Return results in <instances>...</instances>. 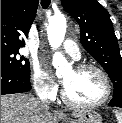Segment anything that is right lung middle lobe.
<instances>
[{
    "mask_svg": "<svg viewBox=\"0 0 122 123\" xmlns=\"http://www.w3.org/2000/svg\"><path fill=\"white\" fill-rule=\"evenodd\" d=\"M18 50H1V66L30 77L29 61L24 56H19Z\"/></svg>",
    "mask_w": 122,
    "mask_h": 123,
    "instance_id": "obj_1",
    "label": "right lung middle lobe"
}]
</instances>
